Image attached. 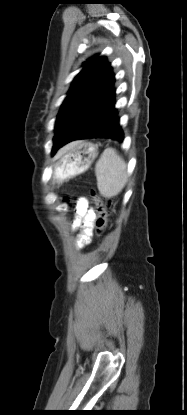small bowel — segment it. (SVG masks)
<instances>
[{
    "mask_svg": "<svg viewBox=\"0 0 187 415\" xmlns=\"http://www.w3.org/2000/svg\"><path fill=\"white\" fill-rule=\"evenodd\" d=\"M95 219V212L89 207L87 199H81L76 206V219L73 228H81L82 233L77 238V246L84 247L90 242V229Z\"/></svg>",
    "mask_w": 187,
    "mask_h": 415,
    "instance_id": "small-bowel-1",
    "label": "small bowel"
}]
</instances>
